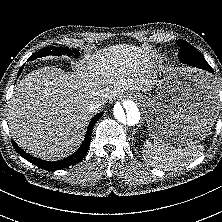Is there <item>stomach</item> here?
Masks as SVG:
<instances>
[{"mask_svg": "<svg viewBox=\"0 0 222 222\" xmlns=\"http://www.w3.org/2000/svg\"><path fill=\"white\" fill-rule=\"evenodd\" d=\"M156 95L130 92L146 108L150 136L182 147L204 140L218 114L217 91L209 75L196 70L163 69Z\"/></svg>", "mask_w": 222, "mask_h": 222, "instance_id": "stomach-1", "label": "stomach"}]
</instances>
